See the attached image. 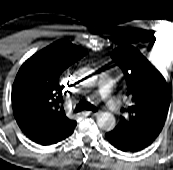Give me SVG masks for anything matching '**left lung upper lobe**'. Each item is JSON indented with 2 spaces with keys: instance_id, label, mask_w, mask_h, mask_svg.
Instances as JSON below:
<instances>
[{
  "instance_id": "obj_1",
  "label": "left lung upper lobe",
  "mask_w": 173,
  "mask_h": 170,
  "mask_svg": "<svg viewBox=\"0 0 173 170\" xmlns=\"http://www.w3.org/2000/svg\"><path fill=\"white\" fill-rule=\"evenodd\" d=\"M113 60L124 73L130 103L127 115L109 133L132 147L144 149L160 134L169 109L170 89L162 74L131 45L114 49Z\"/></svg>"
}]
</instances>
